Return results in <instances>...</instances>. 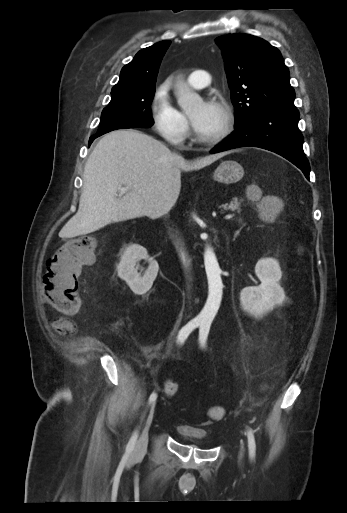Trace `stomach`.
<instances>
[{
  "instance_id": "stomach-1",
  "label": "stomach",
  "mask_w": 347,
  "mask_h": 513,
  "mask_svg": "<svg viewBox=\"0 0 347 513\" xmlns=\"http://www.w3.org/2000/svg\"><path fill=\"white\" fill-rule=\"evenodd\" d=\"M244 176L243 167L234 160L223 161L213 173V179L224 184H233Z\"/></svg>"
}]
</instances>
